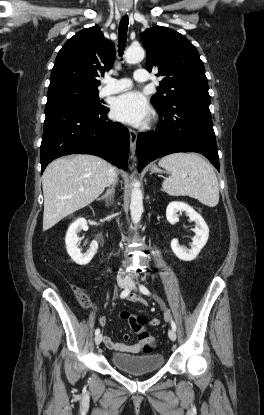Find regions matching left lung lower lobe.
Listing matches in <instances>:
<instances>
[{
  "label": "left lung lower lobe",
  "instance_id": "obj_1",
  "mask_svg": "<svg viewBox=\"0 0 264 415\" xmlns=\"http://www.w3.org/2000/svg\"><path fill=\"white\" fill-rule=\"evenodd\" d=\"M210 98L184 97L156 108L160 123L155 131L139 133L136 153L138 171L149 162L176 152L203 154L219 171V156Z\"/></svg>",
  "mask_w": 264,
  "mask_h": 415
}]
</instances>
